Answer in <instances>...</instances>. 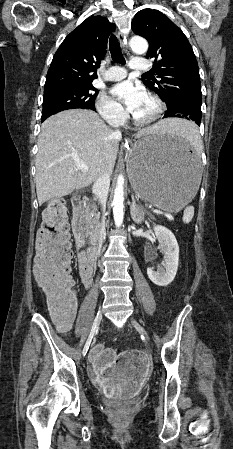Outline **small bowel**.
<instances>
[{
	"instance_id": "small-bowel-1",
	"label": "small bowel",
	"mask_w": 233,
	"mask_h": 449,
	"mask_svg": "<svg viewBox=\"0 0 233 449\" xmlns=\"http://www.w3.org/2000/svg\"><path fill=\"white\" fill-rule=\"evenodd\" d=\"M78 279L85 287H89L93 274L92 272H79ZM74 313L75 309L69 318L58 320L61 332H68ZM89 359L94 371V378L102 384V389L106 390L102 394L106 399L112 397L133 399L137 390L143 388V377L149 376V355L140 354L139 347H126L125 354L119 358L123 363H115L116 353L114 350L99 344L91 349Z\"/></svg>"
}]
</instances>
